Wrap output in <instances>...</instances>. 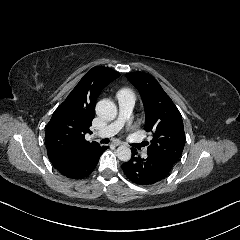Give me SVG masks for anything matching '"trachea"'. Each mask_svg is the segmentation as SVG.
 Returning <instances> with one entry per match:
<instances>
[{
	"instance_id": "3493384b",
	"label": "trachea",
	"mask_w": 240,
	"mask_h": 240,
	"mask_svg": "<svg viewBox=\"0 0 240 240\" xmlns=\"http://www.w3.org/2000/svg\"><path fill=\"white\" fill-rule=\"evenodd\" d=\"M109 139H102L100 142L102 143V144H108L109 143Z\"/></svg>"
}]
</instances>
